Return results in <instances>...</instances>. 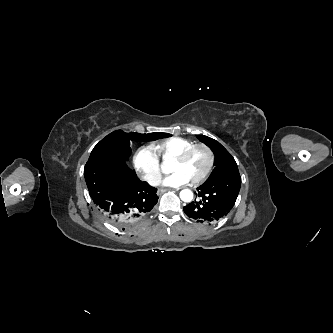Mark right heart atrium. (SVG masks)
I'll return each mask as SVG.
<instances>
[{
    "label": "right heart atrium",
    "mask_w": 333,
    "mask_h": 333,
    "mask_svg": "<svg viewBox=\"0 0 333 333\" xmlns=\"http://www.w3.org/2000/svg\"><path fill=\"white\" fill-rule=\"evenodd\" d=\"M133 164L138 175L151 186H156L161 180V167L158 155L150 146L137 149Z\"/></svg>",
    "instance_id": "d8ad5b80"
}]
</instances>
